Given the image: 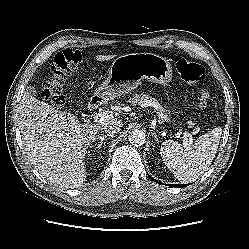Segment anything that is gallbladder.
<instances>
[{"label":"gallbladder","mask_w":249,"mask_h":249,"mask_svg":"<svg viewBox=\"0 0 249 249\" xmlns=\"http://www.w3.org/2000/svg\"><path fill=\"white\" fill-rule=\"evenodd\" d=\"M26 91H27L29 94H31V95H35V94L37 93L35 87H33V86H28V87L26 88Z\"/></svg>","instance_id":"gallbladder-1"}]
</instances>
